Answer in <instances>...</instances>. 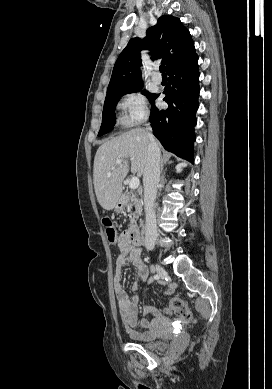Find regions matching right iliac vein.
Here are the masks:
<instances>
[{"label":"right iliac vein","mask_w":272,"mask_h":389,"mask_svg":"<svg viewBox=\"0 0 272 389\" xmlns=\"http://www.w3.org/2000/svg\"><path fill=\"white\" fill-rule=\"evenodd\" d=\"M151 270H152L153 272H156V274H157L160 278H164V277L167 276L166 270H165L162 266H160V265H158V264H154V265L151 267Z\"/></svg>","instance_id":"right-iliac-vein-1"}]
</instances>
